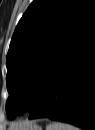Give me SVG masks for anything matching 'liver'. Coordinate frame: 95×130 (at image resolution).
<instances>
[{
    "instance_id": "liver-1",
    "label": "liver",
    "mask_w": 95,
    "mask_h": 130,
    "mask_svg": "<svg viewBox=\"0 0 95 130\" xmlns=\"http://www.w3.org/2000/svg\"><path fill=\"white\" fill-rule=\"evenodd\" d=\"M26 124H29V123H26ZM26 124L15 126V127H13V129L14 130H23V129H26V128H28V127L25 126Z\"/></svg>"
}]
</instances>
